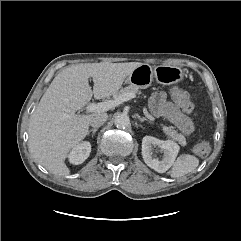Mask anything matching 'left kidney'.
I'll use <instances>...</instances> for the list:
<instances>
[{
  "label": "left kidney",
  "mask_w": 241,
  "mask_h": 241,
  "mask_svg": "<svg viewBox=\"0 0 241 241\" xmlns=\"http://www.w3.org/2000/svg\"><path fill=\"white\" fill-rule=\"evenodd\" d=\"M158 147L164 155L161 160L153 157V148ZM179 146L171 140H160L152 136H145L142 139V156L144 162L158 173L166 172L174 163L179 152Z\"/></svg>",
  "instance_id": "obj_1"
}]
</instances>
